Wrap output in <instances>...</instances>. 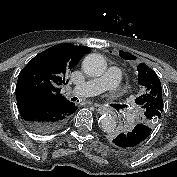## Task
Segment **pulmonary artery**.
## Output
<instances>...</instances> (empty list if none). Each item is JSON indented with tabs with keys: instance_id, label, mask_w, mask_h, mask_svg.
Masks as SVG:
<instances>
[{
	"instance_id": "1",
	"label": "pulmonary artery",
	"mask_w": 177,
	"mask_h": 177,
	"mask_svg": "<svg viewBox=\"0 0 177 177\" xmlns=\"http://www.w3.org/2000/svg\"><path fill=\"white\" fill-rule=\"evenodd\" d=\"M122 78V71L111 66L101 77L88 80L72 88L71 93L77 97H89L102 93L106 90L114 91Z\"/></svg>"
}]
</instances>
